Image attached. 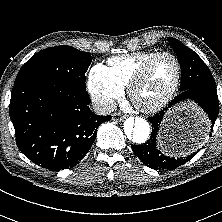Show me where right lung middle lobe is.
<instances>
[{"label":"right lung middle lobe","mask_w":222,"mask_h":222,"mask_svg":"<svg viewBox=\"0 0 222 222\" xmlns=\"http://www.w3.org/2000/svg\"><path fill=\"white\" fill-rule=\"evenodd\" d=\"M92 61L89 52L61 45L33 55L20 69L16 80L45 78L86 91L85 73Z\"/></svg>","instance_id":"1"}]
</instances>
